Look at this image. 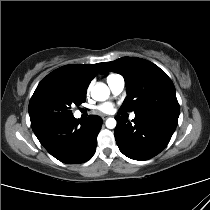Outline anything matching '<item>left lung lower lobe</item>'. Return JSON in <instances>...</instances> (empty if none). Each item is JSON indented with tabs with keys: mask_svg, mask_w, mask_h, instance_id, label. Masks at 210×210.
Segmentation results:
<instances>
[{
	"mask_svg": "<svg viewBox=\"0 0 210 210\" xmlns=\"http://www.w3.org/2000/svg\"><path fill=\"white\" fill-rule=\"evenodd\" d=\"M115 119L114 134L120 151L140 161L154 157L167 146L178 121L176 116L159 113L135 115L134 124L127 123L121 116Z\"/></svg>",
	"mask_w": 210,
	"mask_h": 210,
	"instance_id": "obj_1",
	"label": "left lung lower lobe"
}]
</instances>
